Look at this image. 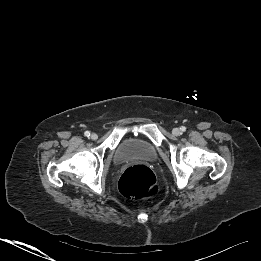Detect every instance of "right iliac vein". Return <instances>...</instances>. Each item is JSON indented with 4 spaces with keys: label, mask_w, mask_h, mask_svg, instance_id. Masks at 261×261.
Segmentation results:
<instances>
[{
    "label": "right iliac vein",
    "mask_w": 261,
    "mask_h": 261,
    "mask_svg": "<svg viewBox=\"0 0 261 261\" xmlns=\"http://www.w3.org/2000/svg\"><path fill=\"white\" fill-rule=\"evenodd\" d=\"M90 138H91L92 140H96V139L98 138V135H97L96 133H92L91 136H90Z\"/></svg>",
    "instance_id": "right-iliac-vein-1"
}]
</instances>
